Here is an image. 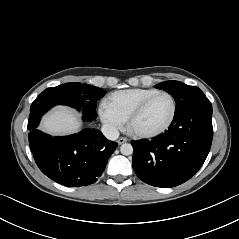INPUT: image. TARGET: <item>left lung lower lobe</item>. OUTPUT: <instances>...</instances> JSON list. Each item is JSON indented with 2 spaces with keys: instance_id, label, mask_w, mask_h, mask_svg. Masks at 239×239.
Wrapping results in <instances>:
<instances>
[{
  "instance_id": "left-lung-lower-lobe-1",
  "label": "left lung lower lobe",
  "mask_w": 239,
  "mask_h": 239,
  "mask_svg": "<svg viewBox=\"0 0 239 239\" xmlns=\"http://www.w3.org/2000/svg\"><path fill=\"white\" fill-rule=\"evenodd\" d=\"M213 138L211 103L174 116L169 129L152 141H132V165L145 183L162 188L180 185L203 165Z\"/></svg>"
}]
</instances>
